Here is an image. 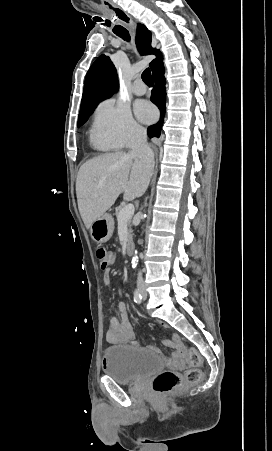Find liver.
<instances>
[{
	"mask_svg": "<svg viewBox=\"0 0 272 451\" xmlns=\"http://www.w3.org/2000/svg\"><path fill=\"white\" fill-rule=\"evenodd\" d=\"M153 166H146L139 156L115 152L92 158L81 166L76 178L80 216L87 227L103 216L118 196L135 200L146 192Z\"/></svg>",
	"mask_w": 272,
	"mask_h": 451,
	"instance_id": "obj_1",
	"label": "liver"
}]
</instances>
